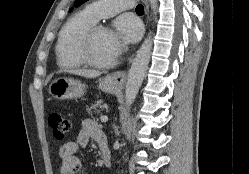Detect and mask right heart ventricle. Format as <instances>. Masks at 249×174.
<instances>
[{"instance_id": "e07e8e85", "label": "right heart ventricle", "mask_w": 249, "mask_h": 174, "mask_svg": "<svg viewBox=\"0 0 249 174\" xmlns=\"http://www.w3.org/2000/svg\"><path fill=\"white\" fill-rule=\"evenodd\" d=\"M95 23L85 11L68 20L60 32L56 46L57 60L61 67L79 68L85 64L80 55V45L86 31Z\"/></svg>"}]
</instances>
